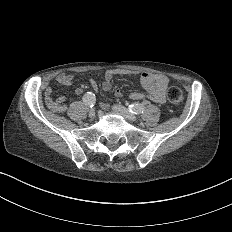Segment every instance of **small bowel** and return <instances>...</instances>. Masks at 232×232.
Listing matches in <instances>:
<instances>
[{"instance_id":"1","label":"small bowel","mask_w":232,"mask_h":232,"mask_svg":"<svg viewBox=\"0 0 232 232\" xmlns=\"http://www.w3.org/2000/svg\"><path fill=\"white\" fill-rule=\"evenodd\" d=\"M116 76H129L136 78L142 85L148 88L149 97L152 101L157 103H163L166 99L165 90L170 84L169 78L162 73H148L140 69H108L102 73V88L104 91L110 90L111 80ZM55 80L62 86H69L74 83V76L72 74L59 73L55 76ZM90 84L95 91L99 90V83L96 79H90ZM81 88H75V93L80 94ZM47 94L53 93L52 86L46 88ZM121 92H116L115 97H121ZM129 96L133 99L142 98V93L139 91H131ZM101 107L105 110L111 108V104L103 102Z\"/></svg>"}]
</instances>
